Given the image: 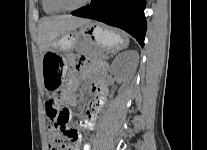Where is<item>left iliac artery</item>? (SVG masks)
<instances>
[{
	"label": "left iliac artery",
	"mask_w": 207,
	"mask_h": 150,
	"mask_svg": "<svg viewBox=\"0 0 207 150\" xmlns=\"http://www.w3.org/2000/svg\"><path fill=\"white\" fill-rule=\"evenodd\" d=\"M84 150H90V145L88 143L84 145Z\"/></svg>",
	"instance_id": "1"
}]
</instances>
